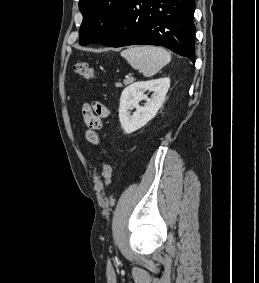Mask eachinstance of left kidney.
Segmentation results:
<instances>
[{
	"mask_svg": "<svg viewBox=\"0 0 259 283\" xmlns=\"http://www.w3.org/2000/svg\"><path fill=\"white\" fill-rule=\"evenodd\" d=\"M170 87V79L160 78L151 81H138L126 87L120 97L119 120L125 134L135 132L153 119L165 101ZM153 92L151 98L144 93ZM145 100L144 106L139 102ZM136 109L131 115L130 110Z\"/></svg>",
	"mask_w": 259,
	"mask_h": 283,
	"instance_id": "obj_1",
	"label": "left kidney"
}]
</instances>
